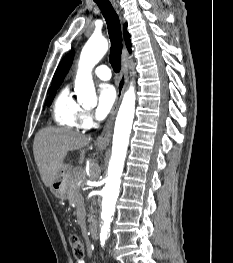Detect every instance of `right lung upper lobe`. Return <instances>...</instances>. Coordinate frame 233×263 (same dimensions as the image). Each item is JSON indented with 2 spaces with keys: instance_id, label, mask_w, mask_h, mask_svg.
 <instances>
[{
  "instance_id": "cb5924a9",
  "label": "right lung upper lobe",
  "mask_w": 233,
  "mask_h": 263,
  "mask_svg": "<svg viewBox=\"0 0 233 263\" xmlns=\"http://www.w3.org/2000/svg\"><path fill=\"white\" fill-rule=\"evenodd\" d=\"M125 27H126V24H125ZM124 34H125L126 45H127V48L130 52L131 51L130 35L128 34V32L126 30H125ZM73 58H74V52L72 51L61 61V63L59 64V66H58V68L54 74L51 88L59 87L60 84L63 82L65 75L67 74L69 68L71 67Z\"/></svg>"
}]
</instances>
